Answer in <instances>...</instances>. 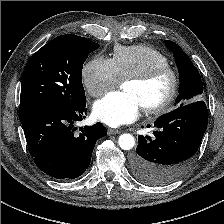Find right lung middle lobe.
<instances>
[{
	"instance_id": "right-lung-middle-lobe-1",
	"label": "right lung middle lobe",
	"mask_w": 224,
	"mask_h": 224,
	"mask_svg": "<svg viewBox=\"0 0 224 224\" xmlns=\"http://www.w3.org/2000/svg\"><path fill=\"white\" fill-rule=\"evenodd\" d=\"M98 47L89 39L67 34L39 49L22 76L20 116L36 108L75 107L86 102L83 63Z\"/></svg>"
}]
</instances>
